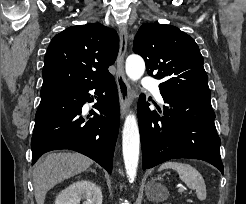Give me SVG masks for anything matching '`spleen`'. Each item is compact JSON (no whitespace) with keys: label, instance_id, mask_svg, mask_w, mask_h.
I'll use <instances>...</instances> for the list:
<instances>
[{"label":"spleen","instance_id":"obj_1","mask_svg":"<svg viewBox=\"0 0 246 204\" xmlns=\"http://www.w3.org/2000/svg\"><path fill=\"white\" fill-rule=\"evenodd\" d=\"M164 169H174L179 174L180 179L189 188L196 191L199 200L204 201L206 199L205 181L196 168L187 163L168 161L161 164L158 170L161 171Z\"/></svg>","mask_w":246,"mask_h":204}]
</instances>
